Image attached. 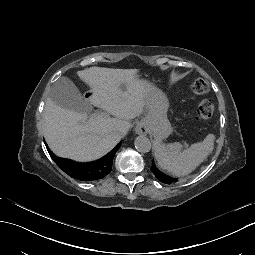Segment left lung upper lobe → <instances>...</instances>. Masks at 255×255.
Here are the masks:
<instances>
[{"mask_svg": "<svg viewBox=\"0 0 255 255\" xmlns=\"http://www.w3.org/2000/svg\"><path fill=\"white\" fill-rule=\"evenodd\" d=\"M153 166L155 167L154 164H153ZM155 168H156V167H155ZM156 169H157V168H156ZM157 170H158V169H157ZM158 172L161 173L159 170H158ZM167 177H169V176H167ZM169 178H171V177H169ZM173 180L176 181V179H174V178H173ZM160 181H161V180H160ZM161 182H162V181H161Z\"/></svg>", "mask_w": 255, "mask_h": 255, "instance_id": "left-lung-upper-lobe-1", "label": "left lung upper lobe"}]
</instances>
